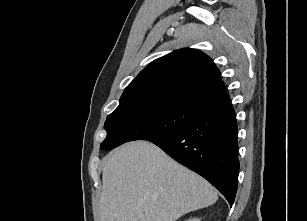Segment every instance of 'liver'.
<instances>
[{"label": "liver", "instance_id": "liver-1", "mask_svg": "<svg viewBox=\"0 0 307 221\" xmlns=\"http://www.w3.org/2000/svg\"><path fill=\"white\" fill-rule=\"evenodd\" d=\"M102 181L100 221H176L218 199L209 182L147 141L110 152Z\"/></svg>", "mask_w": 307, "mask_h": 221}]
</instances>
